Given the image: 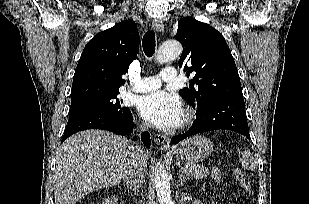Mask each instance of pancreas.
<instances>
[{"label":"pancreas","instance_id":"1","mask_svg":"<svg viewBox=\"0 0 309 204\" xmlns=\"http://www.w3.org/2000/svg\"><path fill=\"white\" fill-rule=\"evenodd\" d=\"M186 171L188 176H192L196 179H203L209 174V170L206 167L195 163H188L186 165Z\"/></svg>","mask_w":309,"mask_h":204}]
</instances>
